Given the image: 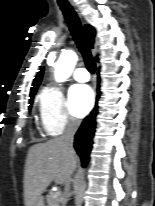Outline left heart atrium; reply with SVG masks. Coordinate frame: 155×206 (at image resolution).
Here are the masks:
<instances>
[{
	"mask_svg": "<svg viewBox=\"0 0 155 206\" xmlns=\"http://www.w3.org/2000/svg\"><path fill=\"white\" fill-rule=\"evenodd\" d=\"M94 96L91 88L86 85H75L70 89L69 102L72 112L82 117L91 109Z\"/></svg>",
	"mask_w": 155,
	"mask_h": 206,
	"instance_id": "1",
	"label": "left heart atrium"
}]
</instances>
